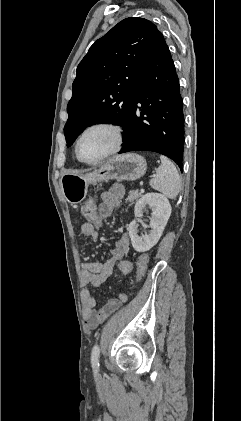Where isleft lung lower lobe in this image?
<instances>
[{
  "instance_id": "1",
  "label": "left lung lower lobe",
  "mask_w": 241,
  "mask_h": 421,
  "mask_svg": "<svg viewBox=\"0 0 241 421\" xmlns=\"http://www.w3.org/2000/svg\"><path fill=\"white\" fill-rule=\"evenodd\" d=\"M119 153L153 151L174 160L182 171L183 101L169 48L160 33L136 84L128 130Z\"/></svg>"
}]
</instances>
